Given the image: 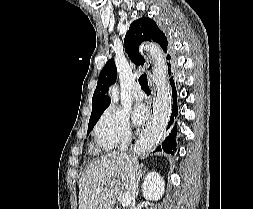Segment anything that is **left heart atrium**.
Returning a JSON list of instances; mask_svg holds the SVG:
<instances>
[{"instance_id":"39dd6f15","label":"left heart atrium","mask_w":253,"mask_h":209,"mask_svg":"<svg viewBox=\"0 0 253 209\" xmlns=\"http://www.w3.org/2000/svg\"><path fill=\"white\" fill-rule=\"evenodd\" d=\"M147 117V111L144 106H137L133 112V121L135 124L139 125L145 121Z\"/></svg>"}]
</instances>
